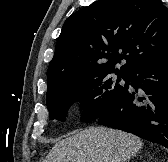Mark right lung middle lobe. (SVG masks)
<instances>
[{"mask_svg":"<svg viewBox=\"0 0 168 162\" xmlns=\"http://www.w3.org/2000/svg\"><path fill=\"white\" fill-rule=\"evenodd\" d=\"M116 73L114 82L109 74ZM128 74L121 72L91 73L73 80L62 81L48 87L47 108L50 119L65 121L70 103L82 100V121L97 119L117 98L123 89L120 79L127 80Z\"/></svg>","mask_w":168,"mask_h":162,"instance_id":"1","label":"right lung middle lobe"}]
</instances>
